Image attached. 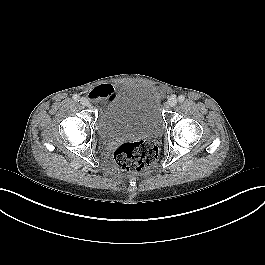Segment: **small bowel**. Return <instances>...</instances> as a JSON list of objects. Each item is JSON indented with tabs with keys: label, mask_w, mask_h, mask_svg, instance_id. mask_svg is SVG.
I'll return each mask as SVG.
<instances>
[{
	"label": "small bowel",
	"mask_w": 265,
	"mask_h": 265,
	"mask_svg": "<svg viewBox=\"0 0 265 265\" xmlns=\"http://www.w3.org/2000/svg\"><path fill=\"white\" fill-rule=\"evenodd\" d=\"M116 93V88L110 84H101L90 91V97L97 108H101L105 101Z\"/></svg>",
	"instance_id": "c3829d8e"
}]
</instances>
